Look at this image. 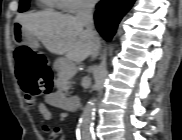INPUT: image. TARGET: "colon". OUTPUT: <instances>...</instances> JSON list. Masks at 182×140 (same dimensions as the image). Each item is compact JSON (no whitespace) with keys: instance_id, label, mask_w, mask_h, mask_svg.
<instances>
[{"instance_id":"1","label":"colon","mask_w":182,"mask_h":140,"mask_svg":"<svg viewBox=\"0 0 182 140\" xmlns=\"http://www.w3.org/2000/svg\"><path fill=\"white\" fill-rule=\"evenodd\" d=\"M16 74L27 102L49 90L51 71L44 55L29 47L21 46L15 51Z\"/></svg>"}]
</instances>
